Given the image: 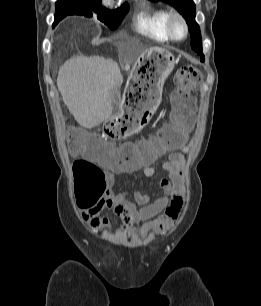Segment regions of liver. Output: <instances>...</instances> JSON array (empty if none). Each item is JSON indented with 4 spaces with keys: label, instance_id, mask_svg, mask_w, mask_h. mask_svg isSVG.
<instances>
[{
    "label": "liver",
    "instance_id": "liver-1",
    "mask_svg": "<svg viewBox=\"0 0 261 306\" xmlns=\"http://www.w3.org/2000/svg\"><path fill=\"white\" fill-rule=\"evenodd\" d=\"M123 76L117 63L103 57L77 55L59 69L57 86L75 120L92 128L110 118L112 91L118 90Z\"/></svg>",
    "mask_w": 261,
    "mask_h": 306
}]
</instances>
